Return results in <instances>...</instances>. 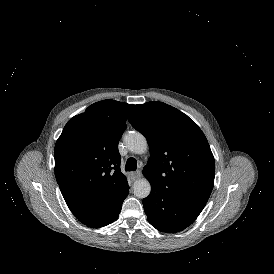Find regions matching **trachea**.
<instances>
[{"label":"trachea","mask_w":274,"mask_h":274,"mask_svg":"<svg viewBox=\"0 0 274 274\" xmlns=\"http://www.w3.org/2000/svg\"><path fill=\"white\" fill-rule=\"evenodd\" d=\"M137 169V160L133 157L129 158L125 165L126 171H135Z\"/></svg>","instance_id":"1"}]
</instances>
